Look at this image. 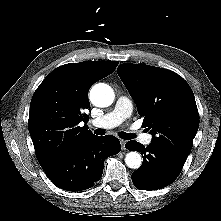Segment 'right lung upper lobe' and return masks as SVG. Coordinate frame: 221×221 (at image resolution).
Listing matches in <instances>:
<instances>
[{
  "label": "right lung upper lobe",
  "instance_id": "cb5924a9",
  "mask_svg": "<svg viewBox=\"0 0 221 221\" xmlns=\"http://www.w3.org/2000/svg\"><path fill=\"white\" fill-rule=\"evenodd\" d=\"M117 61H84L53 70L35 91L28 129L36 156L44 169L95 135L87 126L84 110L90 107L88 91L114 72Z\"/></svg>",
  "mask_w": 221,
  "mask_h": 221
}]
</instances>
